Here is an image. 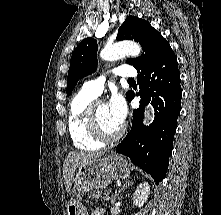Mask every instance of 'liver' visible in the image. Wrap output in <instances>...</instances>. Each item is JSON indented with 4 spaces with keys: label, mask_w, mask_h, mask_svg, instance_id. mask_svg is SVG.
I'll return each mask as SVG.
<instances>
[{
    "label": "liver",
    "mask_w": 221,
    "mask_h": 215,
    "mask_svg": "<svg viewBox=\"0 0 221 215\" xmlns=\"http://www.w3.org/2000/svg\"><path fill=\"white\" fill-rule=\"evenodd\" d=\"M103 155L104 152H70L66 156L63 164V177L66 190L70 192L75 171L81 164L90 160L99 159Z\"/></svg>",
    "instance_id": "liver-1"
}]
</instances>
